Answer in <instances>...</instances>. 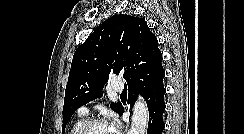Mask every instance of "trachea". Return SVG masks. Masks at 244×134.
Here are the masks:
<instances>
[{
  "instance_id": "trachea-1",
  "label": "trachea",
  "mask_w": 244,
  "mask_h": 134,
  "mask_svg": "<svg viewBox=\"0 0 244 134\" xmlns=\"http://www.w3.org/2000/svg\"><path fill=\"white\" fill-rule=\"evenodd\" d=\"M126 95V91H123L122 93H121V96H125Z\"/></svg>"
}]
</instances>
